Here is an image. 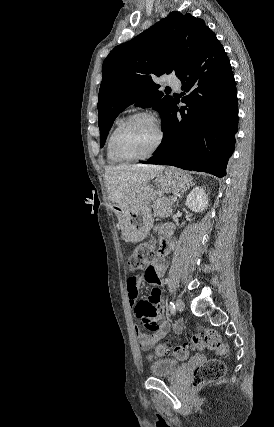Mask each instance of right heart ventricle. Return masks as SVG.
<instances>
[{
    "label": "right heart ventricle",
    "instance_id": "1",
    "mask_svg": "<svg viewBox=\"0 0 274 427\" xmlns=\"http://www.w3.org/2000/svg\"><path fill=\"white\" fill-rule=\"evenodd\" d=\"M106 156H107V160L109 163L111 164H122L123 161H121L120 159H118L112 152L111 147H110V137L108 139L107 142V147H106Z\"/></svg>",
    "mask_w": 274,
    "mask_h": 427
}]
</instances>
